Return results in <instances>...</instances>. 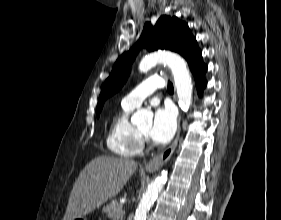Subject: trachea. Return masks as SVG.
<instances>
[{
    "label": "trachea",
    "mask_w": 281,
    "mask_h": 220,
    "mask_svg": "<svg viewBox=\"0 0 281 220\" xmlns=\"http://www.w3.org/2000/svg\"><path fill=\"white\" fill-rule=\"evenodd\" d=\"M168 91H169L170 93H173V92H174L173 84H172L170 81L168 82Z\"/></svg>",
    "instance_id": "1"
}]
</instances>
